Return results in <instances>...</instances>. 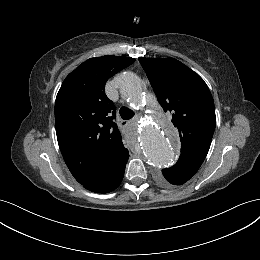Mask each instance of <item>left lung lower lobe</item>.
Wrapping results in <instances>:
<instances>
[{
  "label": "left lung lower lobe",
  "instance_id": "1",
  "mask_svg": "<svg viewBox=\"0 0 260 260\" xmlns=\"http://www.w3.org/2000/svg\"><path fill=\"white\" fill-rule=\"evenodd\" d=\"M197 171L186 168H167L163 169V176L160 181L173 185H182L187 182Z\"/></svg>",
  "mask_w": 260,
  "mask_h": 260
}]
</instances>
